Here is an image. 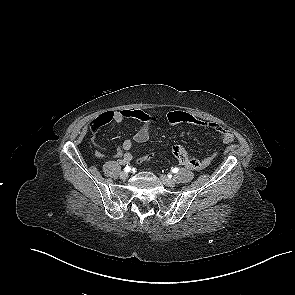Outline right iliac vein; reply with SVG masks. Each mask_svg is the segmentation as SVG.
<instances>
[{
  "mask_svg": "<svg viewBox=\"0 0 295 295\" xmlns=\"http://www.w3.org/2000/svg\"><path fill=\"white\" fill-rule=\"evenodd\" d=\"M127 177H128V173H127V172H121V173H120V178H121L122 180L127 179Z\"/></svg>",
  "mask_w": 295,
  "mask_h": 295,
  "instance_id": "1",
  "label": "right iliac vein"
}]
</instances>
